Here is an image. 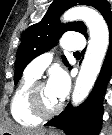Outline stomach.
I'll list each match as a JSON object with an SVG mask.
<instances>
[{
    "instance_id": "stomach-1",
    "label": "stomach",
    "mask_w": 112,
    "mask_h": 135,
    "mask_svg": "<svg viewBox=\"0 0 112 135\" xmlns=\"http://www.w3.org/2000/svg\"><path fill=\"white\" fill-rule=\"evenodd\" d=\"M10 134L9 132H4L3 135H8ZM48 135H59L57 132H50Z\"/></svg>"
}]
</instances>
